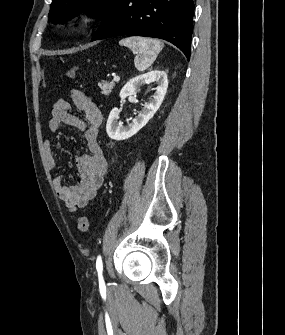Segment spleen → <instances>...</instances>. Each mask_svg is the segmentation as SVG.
Returning a JSON list of instances; mask_svg holds the SVG:
<instances>
[{"mask_svg":"<svg viewBox=\"0 0 285 335\" xmlns=\"http://www.w3.org/2000/svg\"><path fill=\"white\" fill-rule=\"evenodd\" d=\"M119 46H127L134 54H137L134 64L136 70H139V72H144L149 66H152L163 48L159 40L140 38V36L124 38V40H120Z\"/></svg>","mask_w":285,"mask_h":335,"instance_id":"1","label":"spleen"}]
</instances>
